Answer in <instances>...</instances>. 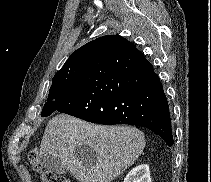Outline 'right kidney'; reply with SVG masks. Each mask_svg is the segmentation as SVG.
I'll use <instances>...</instances> for the list:
<instances>
[{
  "mask_svg": "<svg viewBox=\"0 0 211 182\" xmlns=\"http://www.w3.org/2000/svg\"><path fill=\"white\" fill-rule=\"evenodd\" d=\"M124 182H151L149 166L141 164L134 167L126 175Z\"/></svg>",
  "mask_w": 211,
  "mask_h": 182,
  "instance_id": "1",
  "label": "right kidney"
}]
</instances>
